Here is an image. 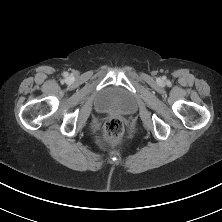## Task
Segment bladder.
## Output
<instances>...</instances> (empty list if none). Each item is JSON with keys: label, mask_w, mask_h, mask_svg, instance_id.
<instances>
[{"label": "bladder", "mask_w": 222, "mask_h": 222, "mask_svg": "<svg viewBox=\"0 0 222 222\" xmlns=\"http://www.w3.org/2000/svg\"><path fill=\"white\" fill-rule=\"evenodd\" d=\"M94 108L100 113L129 115L135 112L137 103L134 96L119 87H109L100 91L94 98Z\"/></svg>", "instance_id": "bladder-1"}]
</instances>
